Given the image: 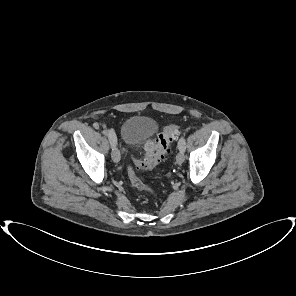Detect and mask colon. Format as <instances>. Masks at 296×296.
Masks as SVG:
<instances>
[{"label":"colon","mask_w":296,"mask_h":296,"mask_svg":"<svg viewBox=\"0 0 296 296\" xmlns=\"http://www.w3.org/2000/svg\"><path fill=\"white\" fill-rule=\"evenodd\" d=\"M180 134V128L176 124L167 126L155 140L146 144V157L144 159L133 158L135 168L151 170L156 167L166 155L169 154L171 142ZM133 166L128 169L131 184L138 190L153 194V189L144 183L136 174Z\"/></svg>","instance_id":"1"}]
</instances>
